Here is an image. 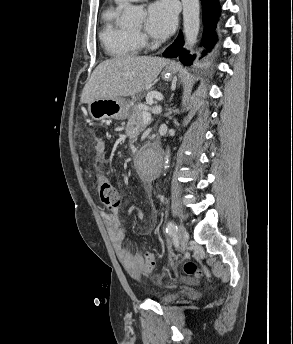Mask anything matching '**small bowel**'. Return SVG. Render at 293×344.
I'll return each instance as SVG.
<instances>
[{
  "instance_id": "obj_1",
  "label": "small bowel",
  "mask_w": 293,
  "mask_h": 344,
  "mask_svg": "<svg viewBox=\"0 0 293 344\" xmlns=\"http://www.w3.org/2000/svg\"><path fill=\"white\" fill-rule=\"evenodd\" d=\"M94 147L101 154L104 151L105 144L101 139H97ZM103 220L118 260L126 270L134 275L138 274L142 268L143 260L140 254L132 253L124 246L126 235L124 229L122 228L119 209H115L111 212H104ZM154 225L155 219L150 221L145 228L147 231H150Z\"/></svg>"
}]
</instances>
